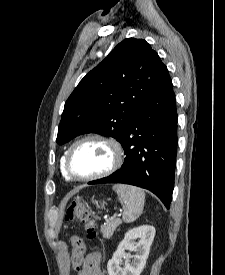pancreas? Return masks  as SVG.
Wrapping results in <instances>:
<instances>
[{
	"label": "pancreas",
	"mask_w": 225,
	"mask_h": 275,
	"mask_svg": "<svg viewBox=\"0 0 225 275\" xmlns=\"http://www.w3.org/2000/svg\"><path fill=\"white\" fill-rule=\"evenodd\" d=\"M121 224L120 219H115L113 221H108L104 225L101 226V232L104 238L110 239L113 235L116 228Z\"/></svg>",
	"instance_id": "obj_1"
}]
</instances>
